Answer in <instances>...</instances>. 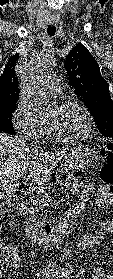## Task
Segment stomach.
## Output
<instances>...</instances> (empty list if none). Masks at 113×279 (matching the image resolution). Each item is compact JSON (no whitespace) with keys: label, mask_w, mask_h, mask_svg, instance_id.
<instances>
[{"label":"stomach","mask_w":113,"mask_h":279,"mask_svg":"<svg viewBox=\"0 0 113 279\" xmlns=\"http://www.w3.org/2000/svg\"><path fill=\"white\" fill-rule=\"evenodd\" d=\"M97 152L89 146H79L65 157V169L71 173L89 168L97 163Z\"/></svg>","instance_id":"0dacf381"}]
</instances>
